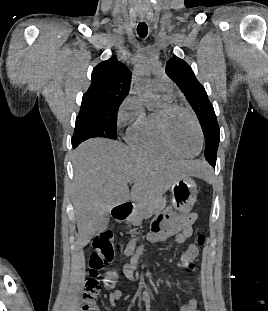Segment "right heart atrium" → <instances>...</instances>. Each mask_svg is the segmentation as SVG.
<instances>
[{
	"label": "right heart atrium",
	"mask_w": 268,
	"mask_h": 311,
	"mask_svg": "<svg viewBox=\"0 0 268 311\" xmlns=\"http://www.w3.org/2000/svg\"><path fill=\"white\" fill-rule=\"evenodd\" d=\"M141 101L136 96H129L121 105L118 112V124L125 126L143 116Z\"/></svg>",
	"instance_id": "right-heart-atrium-1"
}]
</instances>
